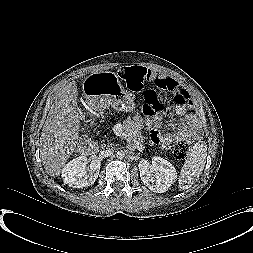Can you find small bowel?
<instances>
[{
    "instance_id": "1",
    "label": "small bowel",
    "mask_w": 253,
    "mask_h": 253,
    "mask_svg": "<svg viewBox=\"0 0 253 253\" xmlns=\"http://www.w3.org/2000/svg\"><path fill=\"white\" fill-rule=\"evenodd\" d=\"M154 74H157L161 76L167 83L174 88H179V84L176 80H174L171 77L159 74L157 72H153ZM184 92L187 93V91L184 90ZM185 116L186 124L183 125L177 134H162L160 132L161 127V118H155L153 120L148 121V125L151 126V138L154 143L162 144V145H170L177 136H181L184 134H192L191 130L197 129L199 126V120L195 113H188L185 114V110L183 107L176 108L171 115H169V118L172 120H177L180 117ZM133 125L135 127L141 126V122L139 121H133Z\"/></svg>"
}]
</instances>
